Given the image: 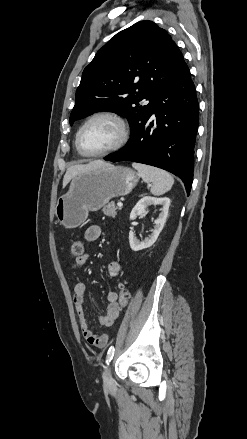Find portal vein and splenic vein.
<instances>
[{"label":"portal vein and splenic vein","mask_w":247,"mask_h":439,"mask_svg":"<svg viewBox=\"0 0 247 439\" xmlns=\"http://www.w3.org/2000/svg\"><path fill=\"white\" fill-rule=\"evenodd\" d=\"M117 206H118V207H122V206H123V203H122V202H118V203H117Z\"/></svg>","instance_id":"portal-vein-and-splenic-vein-1"}]
</instances>
